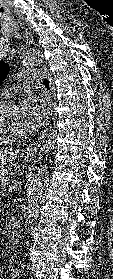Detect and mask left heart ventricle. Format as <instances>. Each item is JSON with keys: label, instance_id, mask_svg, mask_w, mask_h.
<instances>
[{"label": "left heart ventricle", "instance_id": "b2bd125f", "mask_svg": "<svg viewBox=\"0 0 113 279\" xmlns=\"http://www.w3.org/2000/svg\"><path fill=\"white\" fill-rule=\"evenodd\" d=\"M0 126L7 134L20 135L26 133L21 119L20 108L4 112L0 118Z\"/></svg>", "mask_w": 113, "mask_h": 279}]
</instances>
